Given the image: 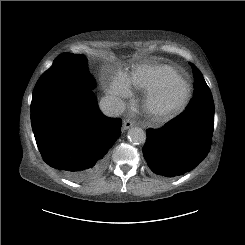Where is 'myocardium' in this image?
Listing matches in <instances>:
<instances>
[{"instance_id": "f54148a6", "label": "myocardium", "mask_w": 245, "mask_h": 245, "mask_svg": "<svg viewBox=\"0 0 245 245\" xmlns=\"http://www.w3.org/2000/svg\"><path fill=\"white\" fill-rule=\"evenodd\" d=\"M191 96V86L182 76L175 78L166 86L149 89L144 105L151 120L161 122L180 112Z\"/></svg>"}]
</instances>
